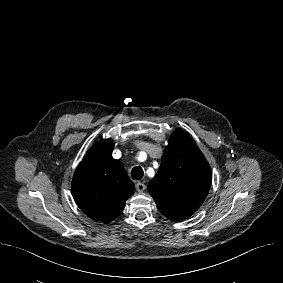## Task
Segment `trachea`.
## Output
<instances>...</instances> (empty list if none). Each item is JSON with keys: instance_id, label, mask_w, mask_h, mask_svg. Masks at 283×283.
I'll return each instance as SVG.
<instances>
[{"instance_id": "1", "label": "trachea", "mask_w": 283, "mask_h": 283, "mask_svg": "<svg viewBox=\"0 0 283 283\" xmlns=\"http://www.w3.org/2000/svg\"><path fill=\"white\" fill-rule=\"evenodd\" d=\"M143 175H144L143 169L139 166H136L131 170V177L134 180H141L143 178Z\"/></svg>"}]
</instances>
